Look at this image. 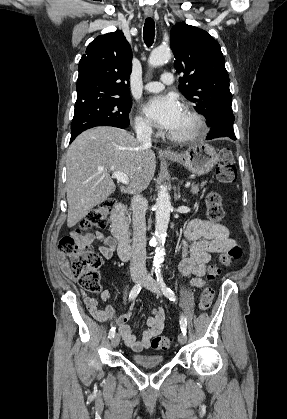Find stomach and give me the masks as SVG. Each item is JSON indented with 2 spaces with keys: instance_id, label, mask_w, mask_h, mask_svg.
Masks as SVG:
<instances>
[{
  "instance_id": "1",
  "label": "stomach",
  "mask_w": 287,
  "mask_h": 419,
  "mask_svg": "<svg viewBox=\"0 0 287 419\" xmlns=\"http://www.w3.org/2000/svg\"><path fill=\"white\" fill-rule=\"evenodd\" d=\"M169 159L183 165L194 174L204 175L214 167L217 153L211 145L200 143L189 147L181 154L169 156Z\"/></svg>"
}]
</instances>
